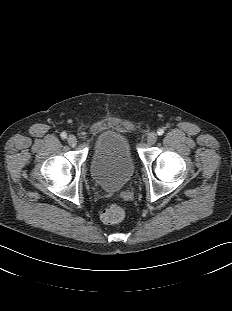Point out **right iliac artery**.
Segmentation results:
<instances>
[{"label": "right iliac artery", "instance_id": "1", "mask_svg": "<svg viewBox=\"0 0 232 311\" xmlns=\"http://www.w3.org/2000/svg\"><path fill=\"white\" fill-rule=\"evenodd\" d=\"M61 138L66 139L67 138V134L65 132L61 133Z\"/></svg>", "mask_w": 232, "mask_h": 311}]
</instances>
